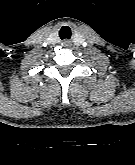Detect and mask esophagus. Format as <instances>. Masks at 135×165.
<instances>
[{
    "instance_id": "obj_1",
    "label": "esophagus",
    "mask_w": 135,
    "mask_h": 165,
    "mask_svg": "<svg viewBox=\"0 0 135 165\" xmlns=\"http://www.w3.org/2000/svg\"><path fill=\"white\" fill-rule=\"evenodd\" d=\"M65 46H69L70 42L69 41H64L63 43Z\"/></svg>"
}]
</instances>
